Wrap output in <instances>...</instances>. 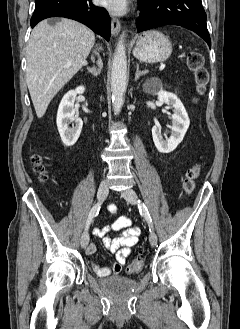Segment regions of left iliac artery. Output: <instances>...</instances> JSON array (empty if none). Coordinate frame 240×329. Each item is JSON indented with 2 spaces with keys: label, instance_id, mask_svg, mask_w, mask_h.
<instances>
[{
  "label": "left iliac artery",
  "instance_id": "44dca946",
  "mask_svg": "<svg viewBox=\"0 0 240 329\" xmlns=\"http://www.w3.org/2000/svg\"><path fill=\"white\" fill-rule=\"evenodd\" d=\"M138 203H139L138 207H139L140 214L145 217V219L150 227V232H151V229L153 230V223H152L151 216L147 210V207L140 200H138Z\"/></svg>",
  "mask_w": 240,
  "mask_h": 329
}]
</instances>
